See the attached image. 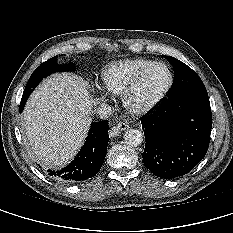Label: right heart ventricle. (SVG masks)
Returning a JSON list of instances; mask_svg holds the SVG:
<instances>
[{
  "instance_id": "e07e8e85",
  "label": "right heart ventricle",
  "mask_w": 233,
  "mask_h": 233,
  "mask_svg": "<svg viewBox=\"0 0 233 233\" xmlns=\"http://www.w3.org/2000/svg\"><path fill=\"white\" fill-rule=\"evenodd\" d=\"M152 60L137 58L126 59L106 66L101 72L103 87L110 93L122 95L134 77Z\"/></svg>"
}]
</instances>
